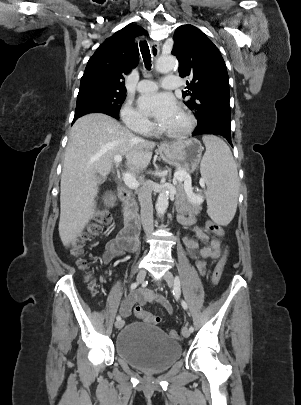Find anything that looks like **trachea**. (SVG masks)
I'll use <instances>...</instances> for the list:
<instances>
[{
    "instance_id": "1",
    "label": "trachea",
    "mask_w": 301,
    "mask_h": 405,
    "mask_svg": "<svg viewBox=\"0 0 301 405\" xmlns=\"http://www.w3.org/2000/svg\"><path fill=\"white\" fill-rule=\"evenodd\" d=\"M140 51L147 69L151 67V54L147 41H140Z\"/></svg>"
}]
</instances>
